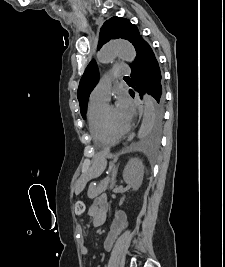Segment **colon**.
<instances>
[{
	"label": "colon",
	"mask_w": 225,
	"mask_h": 267,
	"mask_svg": "<svg viewBox=\"0 0 225 267\" xmlns=\"http://www.w3.org/2000/svg\"><path fill=\"white\" fill-rule=\"evenodd\" d=\"M85 210V205L83 203V201L81 200H77L75 203H74V211L77 215H81L83 214Z\"/></svg>",
	"instance_id": "colon-1"
}]
</instances>
